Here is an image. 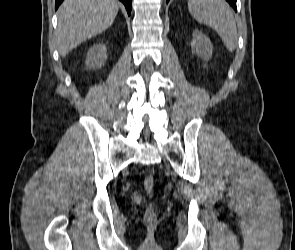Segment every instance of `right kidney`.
I'll list each match as a JSON object with an SVG mask.
<instances>
[{"instance_id":"obj_1","label":"right kidney","mask_w":295,"mask_h":250,"mask_svg":"<svg viewBox=\"0 0 295 250\" xmlns=\"http://www.w3.org/2000/svg\"><path fill=\"white\" fill-rule=\"evenodd\" d=\"M107 60V47L103 43L94 44L87 53L86 66L92 69L101 68Z\"/></svg>"}]
</instances>
